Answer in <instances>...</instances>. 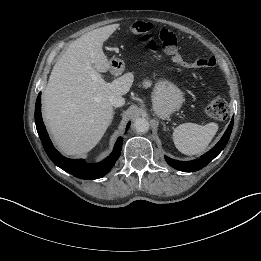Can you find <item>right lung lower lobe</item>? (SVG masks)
<instances>
[{"mask_svg": "<svg viewBox=\"0 0 261 261\" xmlns=\"http://www.w3.org/2000/svg\"><path fill=\"white\" fill-rule=\"evenodd\" d=\"M35 123L37 132L42 141L43 147L51 159V161L63 169L64 171L72 174L80 179L92 180L98 179L106 175L116 160L119 158L123 138L119 137L116 141L113 152L102 162L97 164H87L83 159H68L62 156L52 145L41 116V93H39L35 105ZM130 123H128L126 129H128Z\"/></svg>", "mask_w": 261, "mask_h": 261, "instance_id": "obj_1", "label": "right lung lower lobe"}]
</instances>
